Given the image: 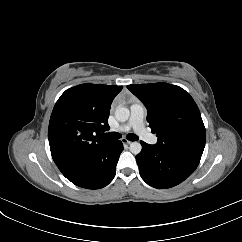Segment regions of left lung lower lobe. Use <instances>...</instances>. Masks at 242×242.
<instances>
[{
    "mask_svg": "<svg viewBox=\"0 0 242 242\" xmlns=\"http://www.w3.org/2000/svg\"><path fill=\"white\" fill-rule=\"evenodd\" d=\"M142 151L136 156L142 179L155 188H170L188 178L197 168L196 158L168 152L141 141Z\"/></svg>",
    "mask_w": 242,
    "mask_h": 242,
    "instance_id": "obj_1",
    "label": "left lung lower lobe"
}]
</instances>
